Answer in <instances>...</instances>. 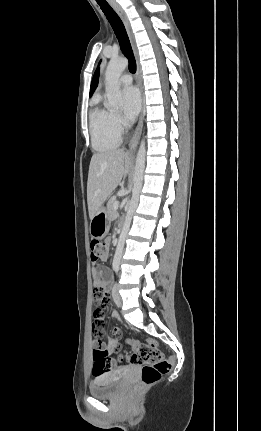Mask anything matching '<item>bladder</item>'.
Segmentation results:
<instances>
[{
	"instance_id": "1",
	"label": "bladder",
	"mask_w": 261,
	"mask_h": 431,
	"mask_svg": "<svg viewBox=\"0 0 261 431\" xmlns=\"http://www.w3.org/2000/svg\"><path fill=\"white\" fill-rule=\"evenodd\" d=\"M123 385V375L112 373L99 375L90 382L89 393L99 399L114 398L121 392Z\"/></svg>"
}]
</instances>
